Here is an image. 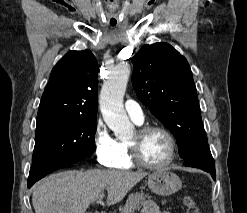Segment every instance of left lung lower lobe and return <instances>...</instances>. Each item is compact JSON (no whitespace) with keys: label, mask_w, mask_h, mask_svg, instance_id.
Wrapping results in <instances>:
<instances>
[{"label":"left lung lower lobe","mask_w":247,"mask_h":213,"mask_svg":"<svg viewBox=\"0 0 247 213\" xmlns=\"http://www.w3.org/2000/svg\"><path fill=\"white\" fill-rule=\"evenodd\" d=\"M184 160L185 166L200 168L209 172L214 180L216 179L214 159L211 155L208 142L199 143Z\"/></svg>","instance_id":"obj_1"}]
</instances>
